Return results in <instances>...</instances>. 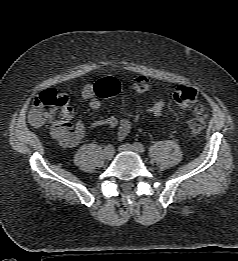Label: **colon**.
Here are the masks:
<instances>
[{"mask_svg":"<svg viewBox=\"0 0 238 261\" xmlns=\"http://www.w3.org/2000/svg\"><path fill=\"white\" fill-rule=\"evenodd\" d=\"M96 92L101 98L117 95L121 90V82L115 77H106L95 84ZM131 89L138 94H145L151 89L150 81L143 76L135 78ZM175 103L182 108H193L194 117L189 122L193 134H198L204 127L207 108L199 103V92L192 87L177 86L173 91ZM71 116L69 98L55 89H47L35 97L33 109L29 114L31 123L41 126L46 120L65 122Z\"/></svg>","mask_w":238,"mask_h":261,"instance_id":"5ec220e1","label":"colon"}]
</instances>
